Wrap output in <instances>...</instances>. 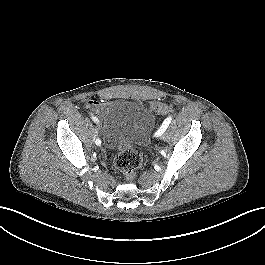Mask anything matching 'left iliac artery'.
Here are the masks:
<instances>
[{
	"instance_id": "left-iliac-artery-1",
	"label": "left iliac artery",
	"mask_w": 265,
	"mask_h": 265,
	"mask_svg": "<svg viewBox=\"0 0 265 265\" xmlns=\"http://www.w3.org/2000/svg\"><path fill=\"white\" fill-rule=\"evenodd\" d=\"M171 120H172V117H171V116L167 117V118L164 120V122L162 123V125L160 126V128H159V129L156 131V133H155V136H156V137L161 136V135L165 132V130H166L167 127L169 126Z\"/></svg>"
}]
</instances>
